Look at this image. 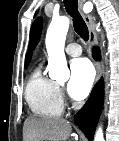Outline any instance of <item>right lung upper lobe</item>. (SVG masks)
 <instances>
[{
	"instance_id": "1",
	"label": "right lung upper lobe",
	"mask_w": 119,
	"mask_h": 141,
	"mask_svg": "<svg viewBox=\"0 0 119 141\" xmlns=\"http://www.w3.org/2000/svg\"><path fill=\"white\" fill-rule=\"evenodd\" d=\"M26 63H28V58L26 59Z\"/></svg>"
}]
</instances>
